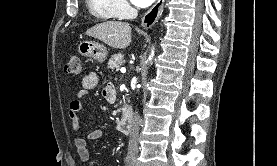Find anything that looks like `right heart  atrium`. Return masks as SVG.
Instances as JSON below:
<instances>
[{
	"label": "right heart atrium",
	"mask_w": 277,
	"mask_h": 166,
	"mask_svg": "<svg viewBox=\"0 0 277 166\" xmlns=\"http://www.w3.org/2000/svg\"><path fill=\"white\" fill-rule=\"evenodd\" d=\"M119 15L125 16L131 12V7L126 0H113Z\"/></svg>",
	"instance_id": "d8ad5b80"
}]
</instances>
